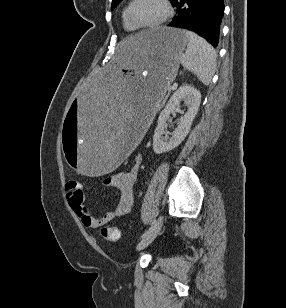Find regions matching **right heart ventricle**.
<instances>
[{"label":"right heart ventricle","mask_w":286,"mask_h":308,"mask_svg":"<svg viewBox=\"0 0 286 308\" xmlns=\"http://www.w3.org/2000/svg\"><path fill=\"white\" fill-rule=\"evenodd\" d=\"M127 7L128 5L123 9L122 11V15H121V18H122V25H123V28L128 31V32H134L136 31L137 29L134 28L130 23L129 21L127 20V16H126V13H127Z\"/></svg>","instance_id":"e07e8e85"}]
</instances>
